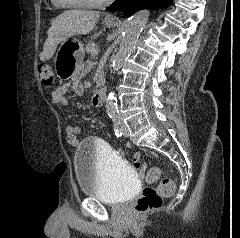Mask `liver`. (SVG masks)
<instances>
[{"instance_id":"obj_1","label":"liver","mask_w":240,"mask_h":238,"mask_svg":"<svg viewBox=\"0 0 240 238\" xmlns=\"http://www.w3.org/2000/svg\"><path fill=\"white\" fill-rule=\"evenodd\" d=\"M99 12L84 10H67L57 16L48 31L47 40L44 43L40 60L50 59L57 48V45L65 39L77 35L90 33L98 19Z\"/></svg>"}]
</instances>
